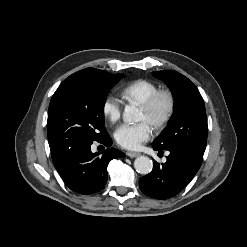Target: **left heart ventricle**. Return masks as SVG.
<instances>
[{"instance_id":"left-heart-ventricle-1","label":"left heart ventricle","mask_w":247,"mask_h":247,"mask_svg":"<svg viewBox=\"0 0 247 247\" xmlns=\"http://www.w3.org/2000/svg\"><path fill=\"white\" fill-rule=\"evenodd\" d=\"M165 109H166V101L162 99L159 101L152 114H148L147 112H145L143 109L140 108L138 119L141 121L145 120L150 125H152L153 122L164 113Z\"/></svg>"}]
</instances>
